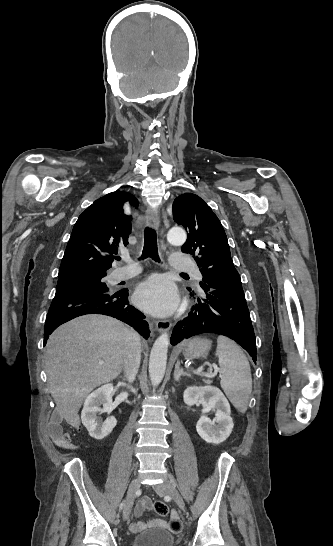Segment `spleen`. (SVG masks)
<instances>
[{
	"instance_id": "1",
	"label": "spleen",
	"mask_w": 333,
	"mask_h": 546,
	"mask_svg": "<svg viewBox=\"0 0 333 546\" xmlns=\"http://www.w3.org/2000/svg\"><path fill=\"white\" fill-rule=\"evenodd\" d=\"M216 356L221 371V387L234 407L246 412L252 391L250 364L241 348L231 339L217 338Z\"/></svg>"
}]
</instances>
